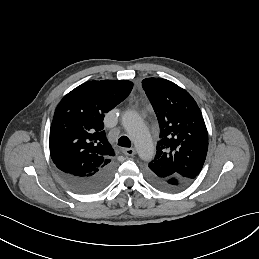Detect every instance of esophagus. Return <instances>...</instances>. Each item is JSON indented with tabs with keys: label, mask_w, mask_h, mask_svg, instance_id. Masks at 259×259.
Masks as SVG:
<instances>
[{
	"label": "esophagus",
	"mask_w": 259,
	"mask_h": 259,
	"mask_svg": "<svg viewBox=\"0 0 259 259\" xmlns=\"http://www.w3.org/2000/svg\"><path fill=\"white\" fill-rule=\"evenodd\" d=\"M122 152L126 155V156H133L136 154V151L134 148H125L122 150Z\"/></svg>",
	"instance_id": "34e87169"
}]
</instances>
